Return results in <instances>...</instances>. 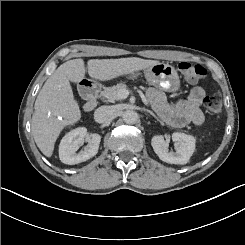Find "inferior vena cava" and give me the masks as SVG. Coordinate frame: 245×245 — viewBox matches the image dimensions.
<instances>
[{"label": "inferior vena cava", "instance_id": "obj_1", "mask_svg": "<svg viewBox=\"0 0 245 245\" xmlns=\"http://www.w3.org/2000/svg\"><path fill=\"white\" fill-rule=\"evenodd\" d=\"M114 111L110 106H101L94 112L95 121L98 123L106 122L113 115Z\"/></svg>", "mask_w": 245, "mask_h": 245}]
</instances>
